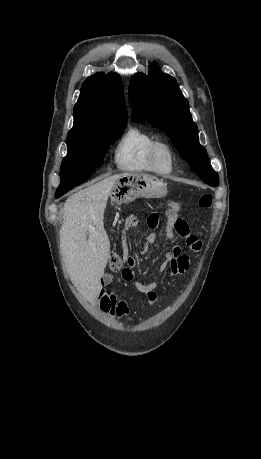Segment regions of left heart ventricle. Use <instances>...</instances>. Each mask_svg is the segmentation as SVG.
Segmentation results:
<instances>
[{"label":"left heart ventricle","mask_w":261,"mask_h":459,"mask_svg":"<svg viewBox=\"0 0 261 459\" xmlns=\"http://www.w3.org/2000/svg\"><path fill=\"white\" fill-rule=\"evenodd\" d=\"M158 166L163 171H168L171 167V159L165 150H161L158 154Z\"/></svg>","instance_id":"b2bd125f"}]
</instances>
